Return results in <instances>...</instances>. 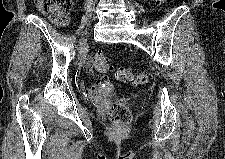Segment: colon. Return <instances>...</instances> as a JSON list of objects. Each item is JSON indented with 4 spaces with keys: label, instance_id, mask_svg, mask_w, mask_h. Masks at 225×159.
I'll use <instances>...</instances> for the list:
<instances>
[{
    "label": "colon",
    "instance_id": "obj_1",
    "mask_svg": "<svg viewBox=\"0 0 225 159\" xmlns=\"http://www.w3.org/2000/svg\"><path fill=\"white\" fill-rule=\"evenodd\" d=\"M158 2L163 4L164 0H158ZM37 4L44 14L50 16L55 22L64 24L73 0H37ZM93 66L102 75L107 74L111 70L109 59L100 51L93 58ZM116 78L122 82L144 85L150 81L151 75L147 71L134 73L129 68H121L116 72ZM107 117L114 124H126L131 119V113L124 104L111 103L107 109Z\"/></svg>",
    "mask_w": 225,
    "mask_h": 159
}]
</instances>
